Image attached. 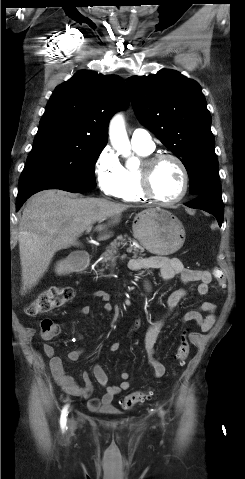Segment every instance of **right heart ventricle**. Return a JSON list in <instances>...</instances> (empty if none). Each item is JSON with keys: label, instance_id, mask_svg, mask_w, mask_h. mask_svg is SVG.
Segmentation results:
<instances>
[{"label": "right heart ventricle", "instance_id": "right-heart-ventricle-1", "mask_svg": "<svg viewBox=\"0 0 245 479\" xmlns=\"http://www.w3.org/2000/svg\"><path fill=\"white\" fill-rule=\"evenodd\" d=\"M142 157L149 156L152 151L134 147ZM139 169L123 168V178L117 197L125 202H141L148 200L140 189Z\"/></svg>", "mask_w": 245, "mask_h": 479}]
</instances>
